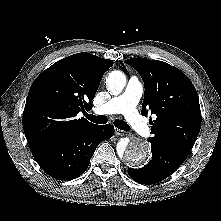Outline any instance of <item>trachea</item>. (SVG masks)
Segmentation results:
<instances>
[{"mask_svg": "<svg viewBox=\"0 0 221 221\" xmlns=\"http://www.w3.org/2000/svg\"><path fill=\"white\" fill-rule=\"evenodd\" d=\"M85 117L96 124H105L108 121V118L104 115L95 116L92 114H86ZM113 124L120 130L128 131L130 129L129 125L123 120L117 119Z\"/></svg>", "mask_w": 221, "mask_h": 221, "instance_id": "3493384b", "label": "trachea"}]
</instances>
